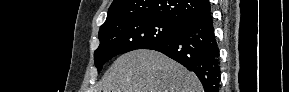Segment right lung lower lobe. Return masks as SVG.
Here are the masks:
<instances>
[{
    "instance_id": "right-lung-lower-lobe-1",
    "label": "right lung lower lobe",
    "mask_w": 289,
    "mask_h": 92,
    "mask_svg": "<svg viewBox=\"0 0 289 92\" xmlns=\"http://www.w3.org/2000/svg\"><path fill=\"white\" fill-rule=\"evenodd\" d=\"M145 49L159 51L193 71L205 92H218L219 49L210 10L185 20L174 36Z\"/></svg>"
}]
</instances>
